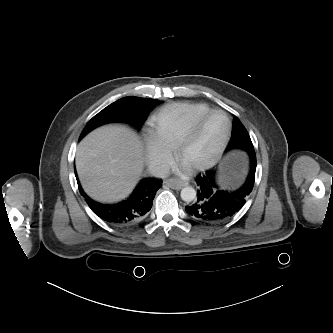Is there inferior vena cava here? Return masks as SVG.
Listing matches in <instances>:
<instances>
[{"label":"inferior vena cava","mask_w":333,"mask_h":333,"mask_svg":"<svg viewBox=\"0 0 333 333\" xmlns=\"http://www.w3.org/2000/svg\"><path fill=\"white\" fill-rule=\"evenodd\" d=\"M149 174L158 178H166L170 174V168L167 165H151Z\"/></svg>","instance_id":"1"}]
</instances>
